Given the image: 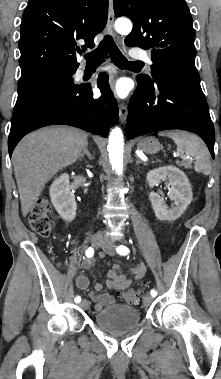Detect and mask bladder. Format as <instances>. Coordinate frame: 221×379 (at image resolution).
Wrapping results in <instances>:
<instances>
[{
	"mask_svg": "<svg viewBox=\"0 0 221 379\" xmlns=\"http://www.w3.org/2000/svg\"><path fill=\"white\" fill-rule=\"evenodd\" d=\"M93 320L103 331L111 335H123L139 325L141 315L135 307L115 304L95 313Z\"/></svg>",
	"mask_w": 221,
	"mask_h": 379,
	"instance_id": "bladder-1",
	"label": "bladder"
}]
</instances>
